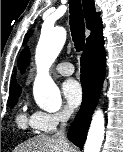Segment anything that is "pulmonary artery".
Returning a JSON list of instances; mask_svg holds the SVG:
<instances>
[{"instance_id": "pulmonary-artery-1", "label": "pulmonary artery", "mask_w": 123, "mask_h": 152, "mask_svg": "<svg viewBox=\"0 0 123 152\" xmlns=\"http://www.w3.org/2000/svg\"><path fill=\"white\" fill-rule=\"evenodd\" d=\"M55 70L64 76H69L74 72V67L69 62H61L56 65Z\"/></svg>"}]
</instances>
